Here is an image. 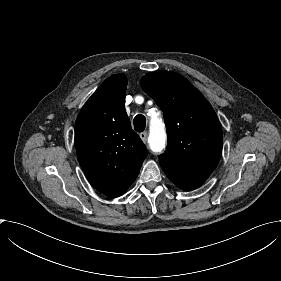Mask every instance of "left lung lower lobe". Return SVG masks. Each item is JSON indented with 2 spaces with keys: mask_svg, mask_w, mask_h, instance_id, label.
<instances>
[{
  "mask_svg": "<svg viewBox=\"0 0 281 281\" xmlns=\"http://www.w3.org/2000/svg\"><path fill=\"white\" fill-rule=\"evenodd\" d=\"M167 177L185 191L193 190L202 185L212 172L186 171L170 164L159 162Z\"/></svg>",
  "mask_w": 281,
  "mask_h": 281,
  "instance_id": "left-lung-lower-lobe-1",
  "label": "left lung lower lobe"
}]
</instances>
